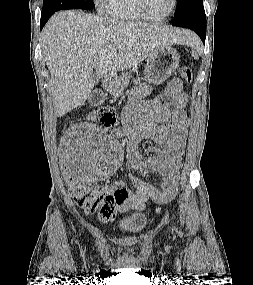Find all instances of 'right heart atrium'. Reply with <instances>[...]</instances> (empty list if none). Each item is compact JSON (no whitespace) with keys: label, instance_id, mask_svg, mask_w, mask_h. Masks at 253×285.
<instances>
[{"label":"right heart atrium","instance_id":"obj_1","mask_svg":"<svg viewBox=\"0 0 253 285\" xmlns=\"http://www.w3.org/2000/svg\"><path fill=\"white\" fill-rule=\"evenodd\" d=\"M94 2L96 3L97 6L103 7L106 0H94Z\"/></svg>","mask_w":253,"mask_h":285}]
</instances>
